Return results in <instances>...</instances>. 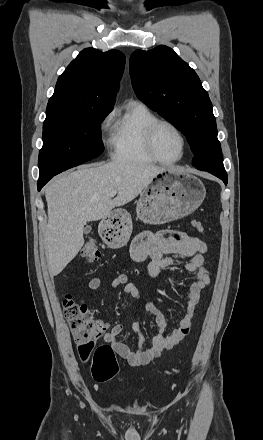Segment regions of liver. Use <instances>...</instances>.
I'll list each match as a JSON object with an SVG mask.
<instances>
[{
	"label": "liver",
	"mask_w": 263,
	"mask_h": 440,
	"mask_svg": "<svg viewBox=\"0 0 263 440\" xmlns=\"http://www.w3.org/2000/svg\"><path fill=\"white\" fill-rule=\"evenodd\" d=\"M165 170L153 164L113 161L83 166L47 185L44 244L50 275L61 273L78 254L87 222L105 218L113 208L129 203ZM112 191H117L114 199Z\"/></svg>",
	"instance_id": "6515ba94"
}]
</instances>
